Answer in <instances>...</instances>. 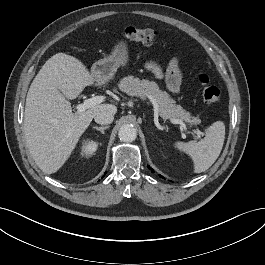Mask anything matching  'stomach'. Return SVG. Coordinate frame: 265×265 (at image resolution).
<instances>
[{
    "mask_svg": "<svg viewBox=\"0 0 265 265\" xmlns=\"http://www.w3.org/2000/svg\"><path fill=\"white\" fill-rule=\"evenodd\" d=\"M128 45L126 41H120L112 49L108 57L96 61L91 67V74L97 83L103 84L109 81L120 66L128 63Z\"/></svg>",
    "mask_w": 265,
    "mask_h": 265,
    "instance_id": "1",
    "label": "stomach"
}]
</instances>
